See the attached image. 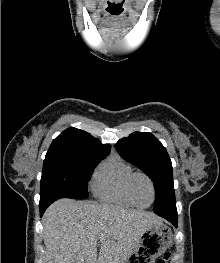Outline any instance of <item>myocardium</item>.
<instances>
[{
	"instance_id": "myocardium-1",
	"label": "myocardium",
	"mask_w": 220,
	"mask_h": 263,
	"mask_svg": "<svg viewBox=\"0 0 220 263\" xmlns=\"http://www.w3.org/2000/svg\"><path fill=\"white\" fill-rule=\"evenodd\" d=\"M143 178L145 179L150 188H151V192H152V199L150 201L149 204L147 205H140L137 203L136 199H135V196H134V192H133V186H134V182L137 178ZM127 193H128V196H129V199L131 200V202L134 204V206L136 207H139V208H147L149 207L150 205L153 204V202L155 201V198H156V189H155V185H154V182L153 180L144 172H134L129 180H128V183H127Z\"/></svg>"
}]
</instances>
